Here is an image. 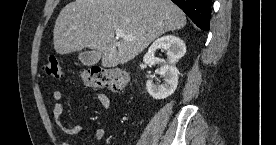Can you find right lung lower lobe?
Returning <instances> with one entry per match:
<instances>
[{
  "mask_svg": "<svg viewBox=\"0 0 276 145\" xmlns=\"http://www.w3.org/2000/svg\"><path fill=\"white\" fill-rule=\"evenodd\" d=\"M202 30L208 31L211 0H172Z\"/></svg>",
  "mask_w": 276,
  "mask_h": 145,
  "instance_id": "right-lung-lower-lobe-1",
  "label": "right lung lower lobe"
}]
</instances>
